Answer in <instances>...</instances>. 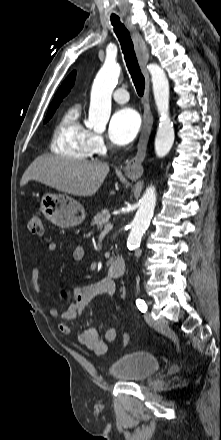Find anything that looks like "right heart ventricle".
I'll return each mask as SVG.
<instances>
[{"label": "right heart ventricle", "mask_w": 221, "mask_h": 440, "mask_svg": "<svg viewBox=\"0 0 221 440\" xmlns=\"http://www.w3.org/2000/svg\"><path fill=\"white\" fill-rule=\"evenodd\" d=\"M80 115L81 107L75 103L59 117L51 143L55 154L76 160H86L92 156L91 131L81 123Z\"/></svg>", "instance_id": "1"}]
</instances>
